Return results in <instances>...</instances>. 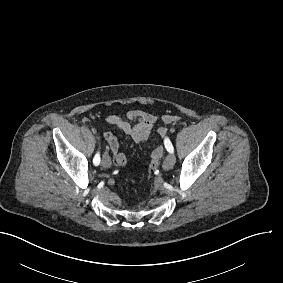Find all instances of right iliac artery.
<instances>
[{"instance_id": "82829eb1", "label": "right iliac artery", "mask_w": 283, "mask_h": 283, "mask_svg": "<svg viewBox=\"0 0 283 283\" xmlns=\"http://www.w3.org/2000/svg\"><path fill=\"white\" fill-rule=\"evenodd\" d=\"M93 163L97 166L100 163V154L97 153L93 159Z\"/></svg>"}]
</instances>
